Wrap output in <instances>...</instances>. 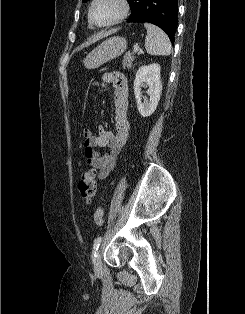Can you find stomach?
Listing matches in <instances>:
<instances>
[{
	"label": "stomach",
	"instance_id": "stomach-1",
	"mask_svg": "<svg viewBox=\"0 0 245 314\" xmlns=\"http://www.w3.org/2000/svg\"><path fill=\"white\" fill-rule=\"evenodd\" d=\"M127 49V40L124 37L114 36L92 50L84 59L87 69H96L101 65L119 57Z\"/></svg>",
	"mask_w": 245,
	"mask_h": 314
}]
</instances>
